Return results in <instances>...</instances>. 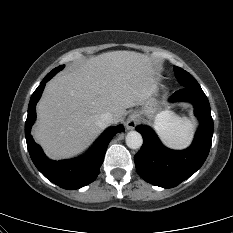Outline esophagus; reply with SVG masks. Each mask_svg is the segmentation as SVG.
Returning a JSON list of instances; mask_svg holds the SVG:
<instances>
[{"mask_svg": "<svg viewBox=\"0 0 233 233\" xmlns=\"http://www.w3.org/2000/svg\"><path fill=\"white\" fill-rule=\"evenodd\" d=\"M138 121V115H136L135 113L130 114L127 119V128L134 129L135 126L138 124Z\"/></svg>", "mask_w": 233, "mask_h": 233, "instance_id": "obj_1", "label": "esophagus"}]
</instances>
